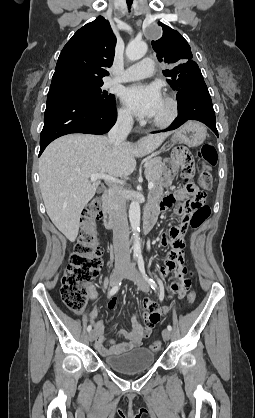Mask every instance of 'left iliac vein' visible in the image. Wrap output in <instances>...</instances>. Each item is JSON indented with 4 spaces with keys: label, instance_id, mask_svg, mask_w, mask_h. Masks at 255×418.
<instances>
[{
    "label": "left iliac vein",
    "instance_id": "obj_1",
    "mask_svg": "<svg viewBox=\"0 0 255 418\" xmlns=\"http://www.w3.org/2000/svg\"><path fill=\"white\" fill-rule=\"evenodd\" d=\"M126 277L133 281L142 291H149L150 287L148 282L134 266H130L126 273ZM162 337L165 341H168L171 337V332L168 329H164L162 331Z\"/></svg>",
    "mask_w": 255,
    "mask_h": 418
}]
</instances>
